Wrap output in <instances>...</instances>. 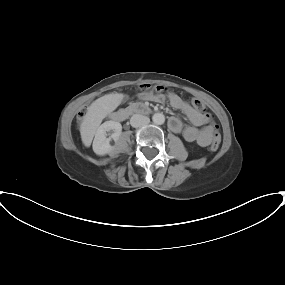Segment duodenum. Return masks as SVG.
I'll use <instances>...</instances> for the list:
<instances>
[{"mask_svg":"<svg viewBox=\"0 0 285 285\" xmlns=\"http://www.w3.org/2000/svg\"><path fill=\"white\" fill-rule=\"evenodd\" d=\"M147 112H148V108L147 107H145L143 105H136V106L130 107L126 111H122V112H118V113L114 114V120L123 121L129 115H132V114H145Z\"/></svg>","mask_w":285,"mask_h":285,"instance_id":"duodenum-1","label":"duodenum"}]
</instances>
